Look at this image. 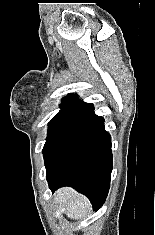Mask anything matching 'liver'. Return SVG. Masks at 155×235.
Here are the masks:
<instances>
[{
    "label": "liver",
    "mask_w": 155,
    "mask_h": 235,
    "mask_svg": "<svg viewBox=\"0 0 155 235\" xmlns=\"http://www.w3.org/2000/svg\"><path fill=\"white\" fill-rule=\"evenodd\" d=\"M55 201L66 207V215L71 219H81L90 210L91 205L86 197L65 187L55 193Z\"/></svg>",
    "instance_id": "1"
}]
</instances>
